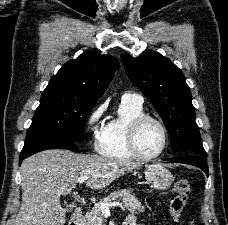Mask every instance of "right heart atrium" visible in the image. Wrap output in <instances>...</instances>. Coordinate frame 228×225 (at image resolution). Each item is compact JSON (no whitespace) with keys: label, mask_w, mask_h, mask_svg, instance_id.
I'll return each instance as SVG.
<instances>
[{"label":"right heart atrium","mask_w":228,"mask_h":225,"mask_svg":"<svg viewBox=\"0 0 228 225\" xmlns=\"http://www.w3.org/2000/svg\"><path fill=\"white\" fill-rule=\"evenodd\" d=\"M106 111V103H100L95 106L86 117V128L91 133L93 142L96 144L102 131L100 123Z\"/></svg>","instance_id":"obj_1"}]
</instances>
